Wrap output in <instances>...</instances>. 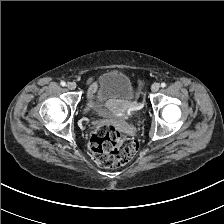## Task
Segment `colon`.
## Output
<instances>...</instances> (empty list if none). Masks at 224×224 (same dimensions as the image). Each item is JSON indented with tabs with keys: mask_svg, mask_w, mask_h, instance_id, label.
I'll list each match as a JSON object with an SVG mask.
<instances>
[{
	"mask_svg": "<svg viewBox=\"0 0 224 224\" xmlns=\"http://www.w3.org/2000/svg\"><path fill=\"white\" fill-rule=\"evenodd\" d=\"M139 81V90L143 87ZM138 144L114 126L99 125L89 142V151L94 162L105 168L120 167L137 153Z\"/></svg>",
	"mask_w": 224,
	"mask_h": 224,
	"instance_id": "5ec220e1",
	"label": "colon"
}]
</instances>
